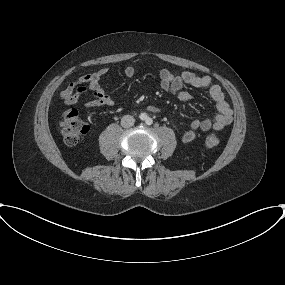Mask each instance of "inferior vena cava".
<instances>
[{"label":"inferior vena cava","mask_w":285,"mask_h":285,"mask_svg":"<svg viewBox=\"0 0 285 285\" xmlns=\"http://www.w3.org/2000/svg\"><path fill=\"white\" fill-rule=\"evenodd\" d=\"M135 119L131 115H125L121 119V126L124 128H130L134 125Z\"/></svg>","instance_id":"1"}]
</instances>
